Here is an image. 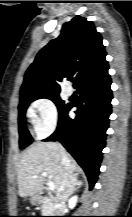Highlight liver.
I'll return each mask as SVG.
<instances>
[{
  "label": "liver",
  "mask_w": 132,
  "mask_h": 217,
  "mask_svg": "<svg viewBox=\"0 0 132 217\" xmlns=\"http://www.w3.org/2000/svg\"><path fill=\"white\" fill-rule=\"evenodd\" d=\"M60 146L55 142H39L32 144L22 154L17 169L20 197L33 196L42 189L46 180L42 174H46L52 180L56 192L58 191L62 181ZM67 155L70 159V170L74 174L80 168L76 161Z\"/></svg>",
  "instance_id": "1"
}]
</instances>
